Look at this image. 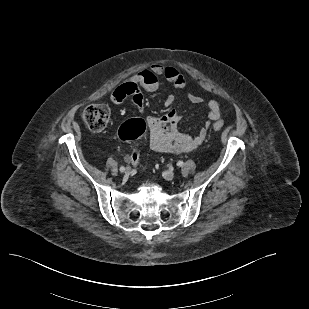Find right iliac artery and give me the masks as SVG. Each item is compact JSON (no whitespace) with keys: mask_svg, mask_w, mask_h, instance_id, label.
Segmentation results:
<instances>
[{"mask_svg":"<svg viewBox=\"0 0 309 309\" xmlns=\"http://www.w3.org/2000/svg\"><path fill=\"white\" fill-rule=\"evenodd\" d=\"M119 170H120L121 172H124V171H125V167L121 166Z\"/></svg>","mask_w":309,"mask_h":309,"instance_id":"1","label":"right iliac artery"}]
</instances>
